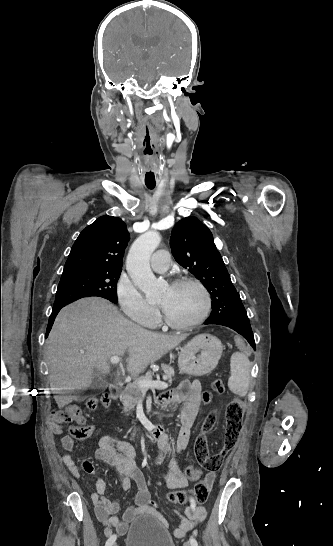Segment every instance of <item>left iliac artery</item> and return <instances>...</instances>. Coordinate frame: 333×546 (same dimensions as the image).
I'll return each mask as SVG.
<instances>
[{"label":"left iliac artery","mask_w":333,"mask_h":546,"mask_svg":"<svg viewBox=\"0 0 333 546\" xmlns=\"http://www.w3.org/2000/svg\"><path fill=\"white\" fill-rule=\"evenodd\" d=\"M190 544H191V546H198V543H197L196 539L193 538V537H190Z\"/></svg>","instance_id":"44dca946"}]
</instances>
